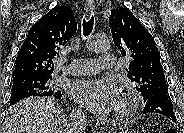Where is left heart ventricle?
<instances>
[{"instance_id": "obj_1", "label": "left heart ventricle", "mask_w": 184, "mask_h": 133, "mask_svg": "<svg viewBox=\"0 0 184 133\" xmlns=\"http://www.w3.org/2000/svg\"><path fill=\"white\" fill-rule=\"evenodd\" d=\"M118 104H119V102L117 103V105H116L115 109H117V107H118Z\"/></svg>"}]
</instances>
